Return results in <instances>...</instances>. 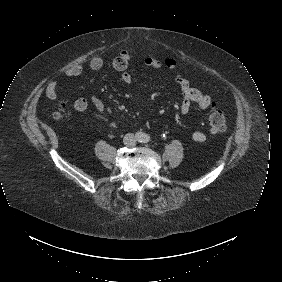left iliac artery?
I'll return each instance as SVG.
<instances>
[{
    "instance_id": "left-iliac-artery-1",
    "label": "left iliac artery",
    "mask_w": 282,
    "mask_h": 282,
    "mask_svg": "<svg viewBox=\"0 0 282 282\" xmlns=\"http://www.w3.org/2000/svg\"><path fill=\"white\" fill-rule=\"evenodd\" d=\"M148 141H149V137H148V136H145L144 142L147 143Z\"/></svg>"
}]
</instances>
